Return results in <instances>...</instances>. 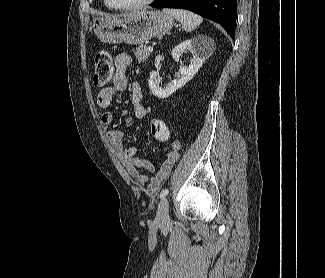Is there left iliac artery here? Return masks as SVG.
<instances>
[{
    "instance_id": "44dca946",
    "label": "left iliac artery",
    "mask_w": 325,
    "mask_h": 278,
    "mask_svg": "<svg viewBox=\"0 0 325 278\" xmlns=\"http://www.w3.org/2000/svg\"><path fill=\"white\" fill-rule=\"evenodd\" d=\"M168 192V189H163L160 193V198L163 199L168 194Z\"/></svg>"
}]
</instances>
